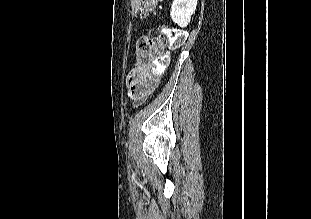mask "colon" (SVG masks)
Listing matches in <instances>:
<instances>
[{"instance_id": "obj_1", "label": "colon", "mask_w": 311, "mask_h": 219, "mask_svg": "<svg viewBox=\"0 0 311 219\" xmlns=\"http://www.w3.org/2000/svg\"><path fill=\"white\" fill-rule=\"evenodd\" d=\"M185 40V32L181 29L163 28L156 36H142L137 42L136 70L146 69L158 77L166 63L165 50L180 46Z\"/></svg>"}]
</instances>
